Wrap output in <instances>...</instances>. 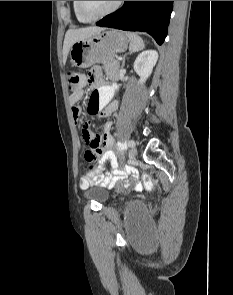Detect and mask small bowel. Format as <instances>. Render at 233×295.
Returning a JSON list of instances; mask_svg holds the SVG:
<instances>
[{"label":"small bowel","mask_w":233,"mask_h":295,"mask_svg":"<svg viewBox=\"0 0 233 295\" xmlns=\"http://www.w3.org/2000/svg\"><path fill=\"white\" fill-rule=\"evenodd\" d=\"M86 79L88 83L95 86V90L92 92L89 99L88 110L91 114H97L99 119L104 120V123L100 135L102 143L101 165L80 178L79 187L81 189H87L93 185L106 186L115 183L125 176L124 171L118 166L117 159L112 152L114 144L110 132L112 123L108 120L117 109V102L111 101L116 88L115 86L101 85V74L97 68L92 69ZM82 96L83 92L76 96H71V102L73 104L77 103ZM72 115L75 120H79L83 115V109L79 106H73ZM107 163L110 165V170L105 168V164Z\"/></svg>","instance_id":"c3829d8e"}]
</instances>
